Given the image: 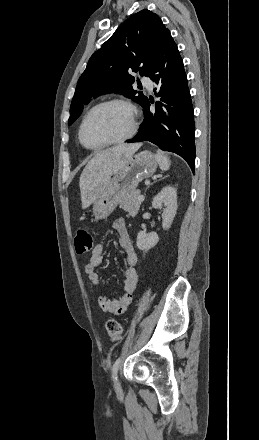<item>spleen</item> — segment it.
Returning a JSON list of instances; mask_svg holds the SVG:
<instances>
[{"label": "spleen", "instance_id": "1", "mask_svg": "<svg viewBox=\"0 0 259 440\" xmlns=\"http://www.w3.org/2000/svg\"><path fill=\"white\" fill-rule=\"evenodd\" d=\"M155 157H156V159L158 161V164H159L161 170L166 171V170L169 169V167H170V160H169V158L167 156H165L163 153L158 151L156 153Z\"/></svg>", "mask_w": 259, "mask_h": 440}]
</instances>
